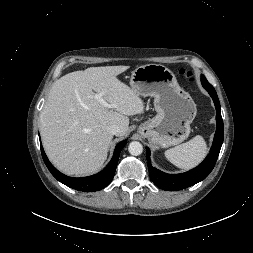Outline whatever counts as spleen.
<instances>
[{"mask_svg": "<svg viewBox=\"0 0 253 253\" xmlns=\"http://www.w3.org/2000/svg\"><path fill=\"white\" fill-rule=\"evenodd\" d=\"M207 146L202 136H195L186 143L165 151L166 158L176 167L189 170L206 156Z\"/></svg>", "mask_w": 253, "mask_h": 253, "instance_id": "1", "label": "spleen"}]
</instances>
